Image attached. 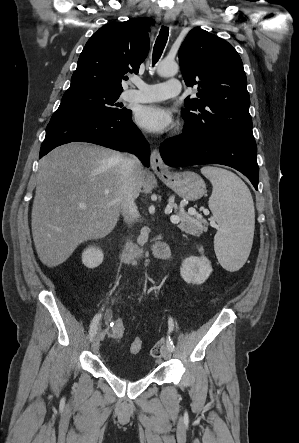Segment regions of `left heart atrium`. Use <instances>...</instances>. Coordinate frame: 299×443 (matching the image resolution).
Listing matches in <instances>:
<instances>
[{
    "instance_id": "39dd6f15",
    "label": "left heart atrium",
    "mask_w": 299,
    "mask_h": 443,
    "mask_svg": "<svg viewBox=\"0 0 299 443\" xmlns=\"http://www.w3.org/2000/svg\"><path fill=\"white\" fill-rule=\"evenodd\" d=\"M135 118L140 127L153 133H164L174 126L171 111L160 105L142 106Z\"/></svg>"
}]
</instances>
